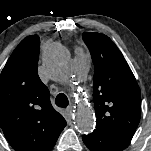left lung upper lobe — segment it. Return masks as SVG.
Returning a JSON list of instances; mask_svg holds the SVG:
<instances>
[{
    "label": "left lung upper lobe",
    "mask_w": 151,
    "mask_h": 151,
    "mask_svg": "<svg viewBox=\"0 0 151 151\" xmlns=\"http://www.w3.org/2000/svg\"><path fill=\"white\" fill-rule=\"evenodd\" d=\"M83 40L95 67V130L133 137L141 116V95L129 65L108 36L84 32Z\"/></svg>",
    "instance_id": "5c2ea615"
}]
</instances>
